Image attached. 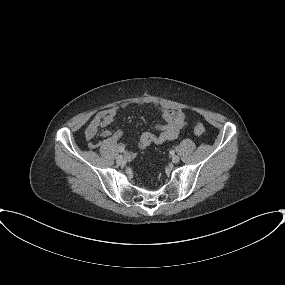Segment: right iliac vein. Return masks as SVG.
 Wrapping results in <instances>:
<instances>
[{"label":"right iliac vein","mask_w":285,"mask_h":285,"mask_svg":"<svg viewBox=\"0 0 285 285\" xmlns=\"http://www.w3.org/2000/svg\"><path fill=\"white\" fill-rule=\"evenodd\" d=\"M129 156L125 155V156H122V155H119L116 157V161L117 163L119 164H122L126 161V159L128 158Z\"/></svg>","instance_id":"right-iliac-vein-1"}]
</instances>
